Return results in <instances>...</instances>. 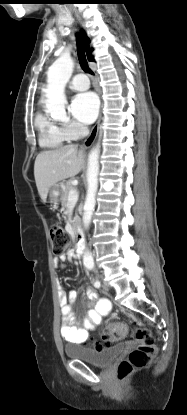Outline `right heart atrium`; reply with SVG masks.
<instances>
[{
  "instance_id": "obj_1",
  "label": "right heart atrium",
  "mask_w": 187,
  "mask_h": 415,
  "mask_svg": "<svg viewBox=\"0 0 187 415\" xmlns=\"http://www.w3.org/2000/svg\"><path fill=\"white\" fill-rule=\"evenodd\" d=\"M61 127L68 140H75L84 132L83 126L75 121L66 122Z\"/></svg>"
}]
</instances>
